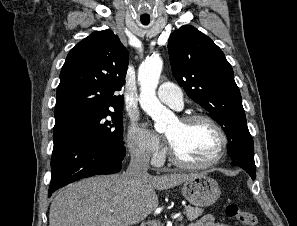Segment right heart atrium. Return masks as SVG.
<instances>
[{
  "label": "right heart atrium",
  "instance_id": "right-heart-atrium-1",
  "mask_svg": "<svg viewBox=\"0 0 297 226\" xmlns=\"http://www.w3.org/2000/svg\"><path fill=\"white\" fill-rule=\"evenodd\" d=\"M127 146L132 158L143 164H158L163 157L158 140L136 123L128 130Z\"/></svg>",
  "mask_w": 297,
  "mask_h": 226
}]
</instances>
